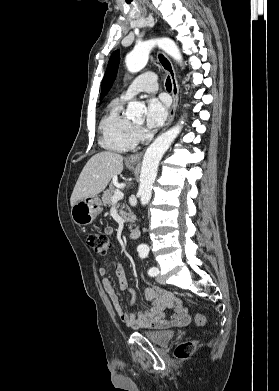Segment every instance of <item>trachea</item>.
I'll list each match as a JSON object with an SVG mask.
<instances>
[{
    "instance_id": "obj_1",
    "label": "trachea",
    "mask_w": 279,
    "mask_h": 391,
    "mask_svg": "<svg viewBox=\"0 0 279 391\" xmlns=\"http://www.w3.org/2000/svg\"><path fill=\"white\" fill-rule=\"evenodd\" d=\"M172 88V84H171V79L170 77L168 76L167 80H166V89L167 90H171Z\"/></svg>"
}]
</instances>
